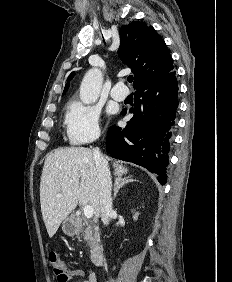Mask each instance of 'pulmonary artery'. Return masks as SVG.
Returning a JSON list of instances; mask_svg holds the SVG:
<instances>
[{"instance_id": "obj_1", "label": "pulmonary artery", "mask_w": 232, "mask_h": 282, "mask_svg": "<svg viewBox=\"0 0 232 282\" xmlns=\"http://www.w3.org/2000/svg\"><path fill=\"white\" fill-rule=\"evenodd\" d=\"M128 89L126 86L119 82L111 90V97L116 101H123L128 96Z\"/></svg>"}]
</instances>
